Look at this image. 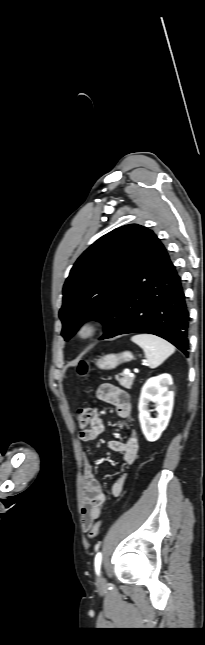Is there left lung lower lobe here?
<instances>
[{
    "label": "left lung lower lobe",
    "mask_w": 205,
    "mask_h": 645,
    "mask_svg": "<svg viewBox=\"0 0 205 645\" xmlns=\"http://www.w3.org/2000/svg\"><path fill=\"white\" fill-rule=\"evenodd\" d=\"M188 326L180 277L163 244L148 230L126 282L118 327L108 338L127 333L154 334L187 356Z\"/></svg>",
    "instance_id": "left-lung-lower-lobe-1"
}]
</instances>
